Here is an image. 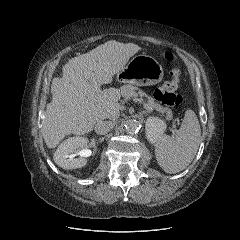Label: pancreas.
Instances as JSON below:
<instances>
[{
  "mask_svg": "<svg viewBox=\"0 0 240 240\" xmlns=\"http://www.w3.org/2000/svg\"><path fill=\"white\" fill-rule=\"evenodd\" d=\"M120 93L125 100L132 98V97H136V96L146 97L147 98L146 103L148 105H150L156 111H158L162 114H165V118L167 120H171L173 117L171 109H169L167 107H163L160 104L156 103L153 98L147 97L146 93H144L142 90L138 89L137 87H135L133 85L128 84V85L122 86L120 89Z\"/></svg>",
  "mask_w": 240,
  "mask_h": 240,
  "instance_id": "1",
  "label": "pancreas"
}]
</instances>
